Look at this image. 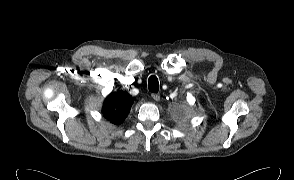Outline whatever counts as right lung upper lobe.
Instances as JSON below:
<instances>
[{
    "instance_id": "obj_1",
    "label": "right lung upper lobe",
    "mask_w": 294,
    "mask_h": 180,
    "mask_svg": "<svg viewBox=\"0 0 294 180\" xmlns=\"http://www.w3.org/2000/svg\"><path fill=\"white\" fill-rule=\"evenodd\" d=\"M133 98L126 92L111 93L103 105V114L114 124H120L129 113Z\"/></svg>"
}]
</instances>
